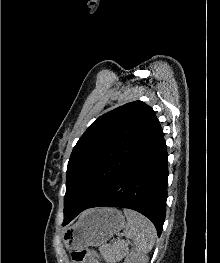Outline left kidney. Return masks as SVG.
Returning a JSON list of instances; mask_svg holds the SVG:
<instances>
[{
    "label": "left kidney",
    "instance_id": "obj_1",
    "mask_svg": "<svg viewBox=\"0 0 220 263\" xmlns=\"http://www.w3.org/2000/svg\"><path fill=\"white\" fill-rule=\"evenodd\" d=\"M148 259L145 258L144 256H139L135 253L129 254L125 260L124 263H147Z\"/></svg>",
    "mask_w": 220,
    "mask_h": 263
}]
</instances>
